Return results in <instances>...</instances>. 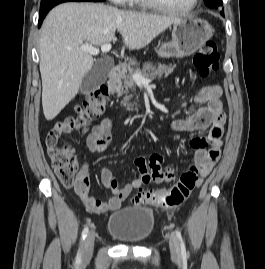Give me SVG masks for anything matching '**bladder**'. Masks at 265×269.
I'll return each instance as SVG.
<instances>
[{
	"mask_svg": "<svg viewBox=\"0 0 265 269\" xmlns=\"http://www.w3.org/2000/svg\"><path fill=\"white\" fill-rule=\"evenodd\" d=\"M154 227L153 211L137 205L118 210L107 221L108 234L125 244H143L152 235Z\"/></svg>",
	"mask_w": 265,
	"mask_h": 269,
	"instance_id": "bladder-1",
	"label": "bladder"
}]
</instances>
